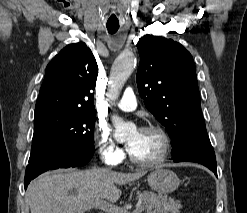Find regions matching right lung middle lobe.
Instances as JSON below:
<instances>
[{
  "instance_id": "1",
  "label": "right lung middle lobe",
  "mask_w": 247,
  "mask_h": 213,
  "mask_svg": "<svg viewBox=\"0 0 247 213\" xmlns=\"http://www.w3.org/2000/svg\"><path fill=\"white\" fill-rule=\"evenodd\" d=\"M95 111L49 110L35 114L30 159L60 146L70 153L94 152Z\"/></svg>"
}]
</instances>
